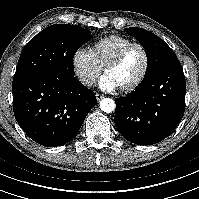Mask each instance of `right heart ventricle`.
<instances>
[{
    "label": "right heart ventricle",
    "mask_w": 199,
    "mask_h": 199,
    "mask_svg": "<svg viewBox=\"0 0 199 199\" xmlns=\"http://www.w3.org/2000/svg\"><path fill=\"white\" fill-rule=\"evenodd\" d=\"M130 38L120 35H110L96 41L90 53L96 65L102 69L123 47L132 43Z\"/></svg>",
    "instance_id": "right-heart-ventricle-1"
}]
</instances>
